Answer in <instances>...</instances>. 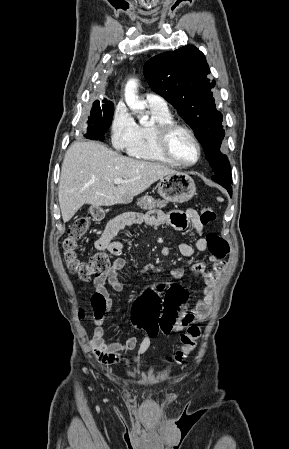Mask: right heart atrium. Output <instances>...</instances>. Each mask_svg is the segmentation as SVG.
I'll use <instances>...</instances> for the list:
<instances>
[{"instance_id": "right-heart-atrium-1", "label": "right heart atrium", "mask_w": 289, "mask_h": 449, "mask_svg": "<svg viewBox=\"0 0 289 449\" xmlns=\"http://www.w3.org/2000/svg\"><path fill=\"white\" fill-rule=\"evenodd\" d=\"M110 129L112 143L116 148L129 151L134 146L138 125L124 104L116 106Z\"/></svg>"}]
</instances>
